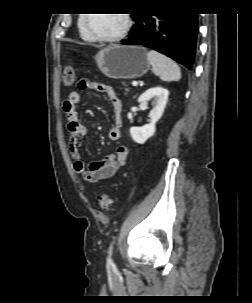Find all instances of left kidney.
<instances>
[{
	"label": "left kidney",
	"instance_id": "1",
	"mask_svg": "<svg viewBox=\"0 0 252 303\" xmlns=\"http://www.w3.org/2000/svg\"><path fill=\"white\" fill-rule=\"evenodd\" d=\"M169 91L163 87L156 86L146 90L138 98L141 109H146L148 102L153 100L154 108L150 111V123L142 127H131L130 135L132 139L139 144L145 143L152 137L156 130V123L162 117L166 103L168 101Z\"/></svg>",
	"mask_w": 252,
	"mask_h": 303
}]
</instances>
